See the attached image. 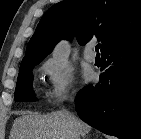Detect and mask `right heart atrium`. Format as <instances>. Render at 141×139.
<instances>
[{"instance_id": "1", "label": "right heart atrium", "mask_w": 141, "mask_h": 139, "mask_svg": "<svg viewBox=\"0 0 141 139\" xmlns=\"http://www.w3.org/2000/svg\"><path fill=\"white\" fill-rule=\"evenodd\" d=\"M41 71L47 79L46 98L51 105H59L74 97L76 81L71 69L60 66L53 60H46Z\"/></svg>"}]
</instances>
